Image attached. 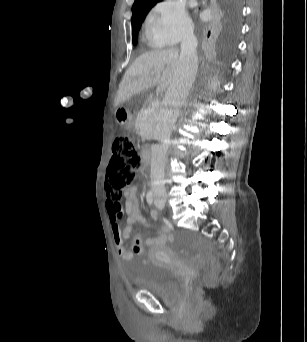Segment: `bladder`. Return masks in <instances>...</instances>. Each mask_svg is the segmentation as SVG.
Returning a JSON list of instances; mask_svg holds the SVG:
<instances>
[{
	"label": "bladder",
	"mask_w": 307,
	"mask_h": 342,
	"mask_svg": "<svg viewBox=\"0 0 307 342\" xmlns=\"http://www.w3.org/2000/svg\"><path fill=\"white\" fill-rule=\"evenodd\" d=\"M142 289L160 297H167L178 291L180 277L170 266L150 263L141 277Z\"/></svg>",
	"instance_id": "31cf9c89"
}]
</instances>
